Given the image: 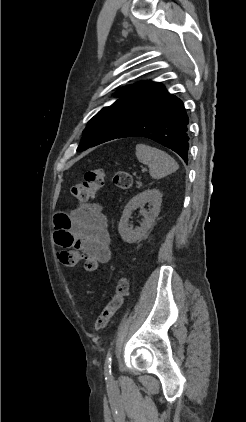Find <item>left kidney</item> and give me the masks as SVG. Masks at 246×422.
<instances>
[{"instance_id": "obj_1", "label": "left kidney", "mask_w": 246, "mask_h": 422, "mask_svg": "<svg viewBox=\"0 0 246 422\" xmlns=\"http://www.w3.org/2000/svg\"><path fill=\"white\" fill-rule=\"evenodd\" d=\"M146 203L152 205L149 211L144 209ZM162 203V194L157 189H148L134 196L125 206L122 217L120 219L118 230L124 242L135 243L142 240L148 230L153 226L156 217L159 215ZM141 208V214L144 216L143 222L140 227L133 229L129 227V218L132 211Z\"/></svg>"}]
</instances>
